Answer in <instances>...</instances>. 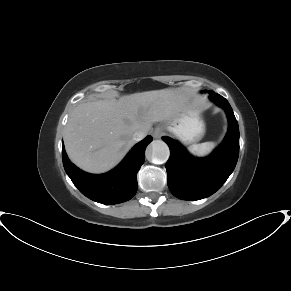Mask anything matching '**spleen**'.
<instances>
[{
    "instance_id": "3e777b00",
    "label": "spleen",
    "mask_w": 291,
    "mask_h": 291,
    "mask_svg": "<svg viewBox=\"0 0 291 291\" xmlns=\"http://www.w3.org/2000/svg\"><path fill=\"white\" fill-rule=\"evenodd\" d=\"M216 147L215 142H204L200 144H193L188 147V150L191 154L197 157H204L212 152Z\"/></svg>"
}]
</instances>
